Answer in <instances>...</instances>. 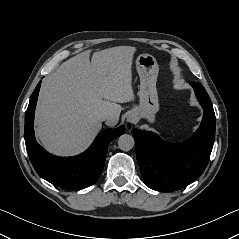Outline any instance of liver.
<instances>
[{
  "label": "liver",
  "instance_id": "liver-1",
  "mask_svg": "<svg viewBox=\"0 0 239 239\" xmlns=\"http://www.w3.org/2000/svg\"><path fill=\"white\" fill-rule=\"evenodd\" d=\"M136 49L118 46L82 52L60 65L42 83L36 106V136L49 152L60 156L86 150L102 127L98 115L118 123L119 103L134 99L132 62Z\"/></svg>",
  "mask_w": 239,
  "mask_h": 239
}]
</instances>
